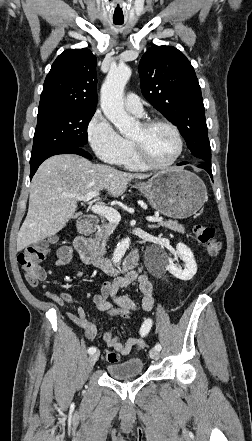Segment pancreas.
Here are the masks:
<instances>
[{"mask_svg": "<svg viewBox=\"0 0 252 441\" xmlns=\"http://www.w3.org/2000/svg\"><path fill=\"white\" fill-rule=\"evenodd\" d=\"M164 226L166 228H169L170 230L184 233V227L179 224L177 221H160L158 222V227ZM115 229V226L112 223H103L102 226L98 229V231L95 233V237L93 239L95 247L100 251V253L103 255L105 251V246L107 243V240L109 236L113 233Z\"/></svg>", "mask_w": 252, "mask_h": 441, "instance_id": "pancreas-1", "label": "pancreas"}]
</instances>
